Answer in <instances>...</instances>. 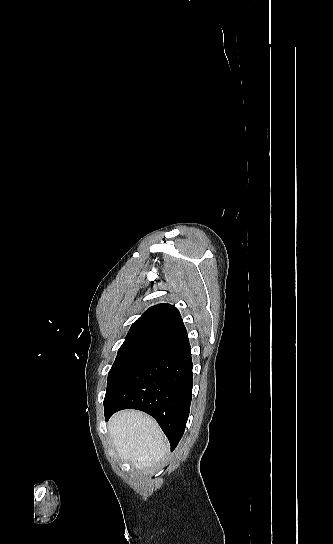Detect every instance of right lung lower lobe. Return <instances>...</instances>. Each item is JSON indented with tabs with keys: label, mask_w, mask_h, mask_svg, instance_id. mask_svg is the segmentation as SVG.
<instances>
[{
	"label": "right lung lower lobe",
	"mask_w": 333,
	"mask_h": 544,
	"mask_svg": "<svg viewBox=\"0 0 333 544\" xmlns=\"http://www.w3.org/2000/svg\"><path fill=\"white\" fill-rule=\"evenodd\" d=\"M192 385L190 344L184 334L152 347L148 357L104 405L105 419L122 409L144 411L156 419L174 450L188 420Z\"/></svg>",
	"instance_id": "right-lung-lower-lobe-1"
}]
</instances>
